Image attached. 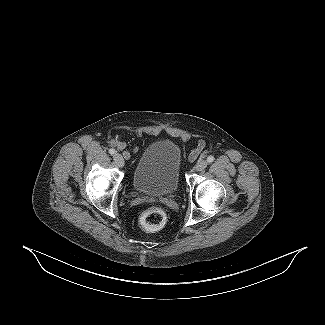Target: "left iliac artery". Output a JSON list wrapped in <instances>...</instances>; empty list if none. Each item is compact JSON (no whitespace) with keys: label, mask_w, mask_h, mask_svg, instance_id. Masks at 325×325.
I'll return each mask as SVG.
<instances>
[{"label":"left iliac artery","mask_w":325,"mask_h":325,"mask_svg":"<svg viewBox=\"0 0 325 325\" xmlns=\"http://www.w3.org/2000/svg\"><path fill=\"white\" fill-rule=\"evenodd\" d=\"M213 161H214V157H213L212 155L208 156V158H207V162H208V163H211V162H213Z\"/></svg>","instance_id":"obj_1"}]
</instances>
